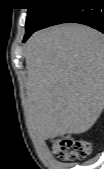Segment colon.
Here are the masks:
<instances>
[{
	"instance_id": "colon-1",
	"label": "colon",
	"mask_w": 104,
	"mask_h": 169,
	"mask_svg": "<svg viewBox=\"0 0 104 169\" xmlns=\"http://www.w3.org/2000/svg\"><path fill=\"white\" fill-rule=\"evenodd\" d=\"M56 157L65 161L82 159L89 154L91 144L85 139H76L69 134L52 140Z\"/></svg>"
}]
</instances>
